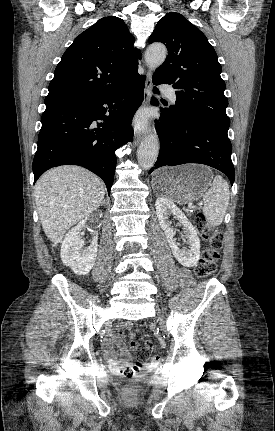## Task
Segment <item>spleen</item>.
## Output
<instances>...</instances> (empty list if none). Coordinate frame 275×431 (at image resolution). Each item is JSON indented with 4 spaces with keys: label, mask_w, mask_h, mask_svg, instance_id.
<instances>
[{
    "label": "spleen",
    "mask_w": 275,
    "mask_h": 431,
    "mask_svg": "<svg viewBox=\"0 0 275 431\" xmlns=\"http://www.w3.org/2000/svg\"><path fill=\"white\" fill-rule=\"evenodd\" d=\"M230 199L229 186L220 175H216L211 188L203 194V213L212 226L222 223Z\"/></svg>",
    "instance_id": "spleen-1"
}]
</instances>
